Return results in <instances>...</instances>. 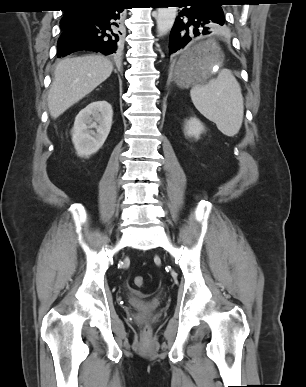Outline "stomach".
Returning a JSON list of instances; mask_svg holds the SVG:
<instances>
[{
	"instance_id": "0dacf381",
	"label": "stomach",
	"mask_w": 306,
	"mask_h": 387,
	"mask_svg": "<svg viewBox=\"0 0 306 387\" xmlns=\"http://www.w3.org/2000/svg\"><path fill=\"white\" fill-rule=\"evenodd\" d=\"M192 51L198 52L191 55ZM185 59L186 63H182ZM224 55L212 41L200 42L189 49L174 67V80L178 87L189 88L191 85L203 83L213 74V68L221 66Z\"/></svg>"
}]
</instances>
